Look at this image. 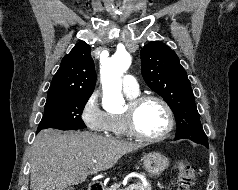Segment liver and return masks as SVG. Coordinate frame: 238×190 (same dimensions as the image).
<instances>
[{"mask_svg": "<svg viewBox=\"0 0 238 190\" xmlns=\"http://www.w3.org/2000/svg\"><path fill=\"white\" fill-rule=\"evenodd\" d=\"M141 144L101 137L89 132L44 129L31 151V190H64L83 183L88 175L113 167Z\"/></svg>", "mask_w": 238, "mask_h": 190, "instance_id": "6515ba94", "label": "liver"}]
</instances>
